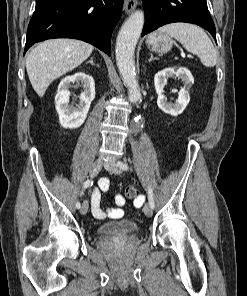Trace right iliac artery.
Listing matches in <instances>:
<instances>
[{"label": "right iliac artery", "mask_w": 247, "mask_h": 296, "mask_svg": "<svg viewBox=\"0 0 247 296\" xmlns=\"http://www.w3.org/2000/svg\"><path fill=\"white\" fill-rule=\"evenodd\" d=\"M92 184H93L92 180H89V179L86 180L83 184V189H86L87 187L92 186ZM80 207H81L80 202H76V208L79 209Z\"/></svg>", "instance_id": "obj_1"}]
</instances>
